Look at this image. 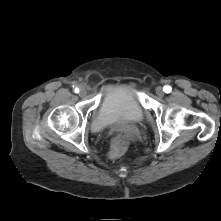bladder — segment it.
Here are the masks:
<instances>
[{
	"label": "bladder",
	"instance_id": "1",
	"mask_svg": "<svg viewBox=\"0 0 221 221\" xmlns=\"http://www.w3.org/2000/svg\"><path fill=\"white\" fill-rule=\"evenodd\" d=\"M144 117L136 89L129 85H113L104 90L91 128L99 131L117 123H139Z\"/></svg>",
	"mask_w": 221,
	"mask_h": 221
}]
</instances>
